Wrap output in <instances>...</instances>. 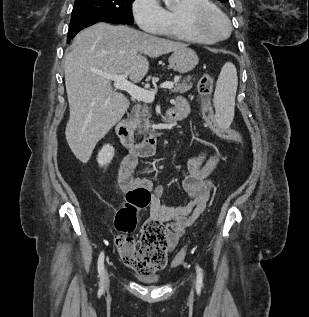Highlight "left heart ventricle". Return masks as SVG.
<instances>
[{
    "instance_id": "obj_1",
    "label": "left heart ventricle",
    "mask_w": 309,
    "mask_h": 317,
    "mask_svg": "<svg viewBox=\"0 0 309 317\" xmlns=\"http://www.w3.org/2000/svg\"><path fill=\"white\" fill-rule=\"evenodd\" d=\"M202 27L208 31H221L223 24L217 19H208L202 24Z\"/></svg>"
}]
</instances>
